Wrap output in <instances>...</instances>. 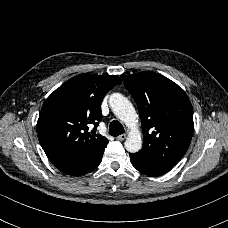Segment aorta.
<instances>
[{
	"mask_svg": "<svg viewBox=\"0 0 228 228\" xmlns=\"http://www.w3.org/2000/svg\"><path fill=\"white\" fill-rule=\"evenodd\" d=\"M109 106L117 118L127 125L137 123L136 111L131 101L121 93H112L109 96ZM124 147L129 153H137L142 148V139L139 134L132 133L124 142Z\"/></svg>",
	"mask_w": 228,
	"mask_h": 228,
	"instance_id": "1",
	"label": "aorta"
}]
</instances>
